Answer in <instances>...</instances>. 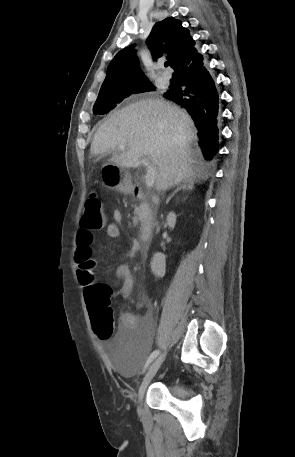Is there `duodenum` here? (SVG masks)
I'll use <instances>...</instances> for the list:
<instances>
[{"label": "duodenum", "instance_id": "1", "mask_svg": "<svg viewBox=\"0 0 295 457\" xmlns=\"http://www.w3.org/2000/svg\"><path fill=\"white\" fill-rule=\"evenodd\" d=\"M134 196L138 200L145 201V195L144 193L136 189L134 191ZM153 230H154V224L151 220H147L145 224L142 227L141 234H140V246H141V251L143 253H146L151 245V241L153 238Z\"/></svg>", "mask_w": 295, "mask_h": 457}]
</instances>
